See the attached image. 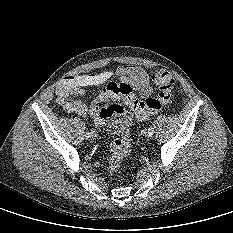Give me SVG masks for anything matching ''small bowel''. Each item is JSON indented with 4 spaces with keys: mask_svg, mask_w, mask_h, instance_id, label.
Masks as SVG:
<instances>
[{
    "mask_svg": "<svg viewBox=\"0 0 233 233\" xmlns=\"http://www.w3.org/2000/svg\"><path fill=\"white\" fill-rule=\"evenodd\" d=\"M112 77H116L119 82L109 81ZM104 84L95 104L91 107L74 98L83 95L86 88ZM121 85H127L132 92H138L142 98L148 97L153 90L150 74L145 69L135 65H123L115 70L66 77L57 87L56 94L58 102L67 112L84 116L89 112L92 114L96 104L121 99L119 91Z\"/></svg>",
    "mask_w": 233,
    "mask_h": 233,
    "instance_id": "c3829d8e",
    "label": "small bowel"
}]
</instances>
